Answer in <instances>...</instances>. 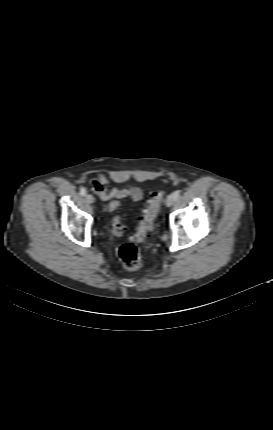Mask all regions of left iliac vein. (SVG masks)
<instances>
[{
  "mask_svg": "<svg viewBox=\"0 0 273 430\" xmlns=\"http://www.w3.org/2000/svg\"><path fill=\"white\" fill-rule=\"evenodd\" d=\"M174 201H175V198L173 197V195L171 194V195H169L168 197H167V199H166V205L168 206V207H170V206H172L173 204H174Z\"/></svg>",
  "mask_w": 273,
  "mask_h": 430,
  "instance_id": "4c4485c4",
  "label": "left iliac vein"
}]
</instances>
